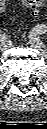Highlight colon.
<instances>
[{"label":"colon","instance_id":"1","mask_svg":"<svg viewBox=\"0 0 47 129\" xmlns=\"http://www.w3.org/2000/svg\"><path fill=\"white\" fill-rule=\"evenodd\" d=\"M24 5L29 7L34 15L39 13V10L44 7L45 0H22ZM3 6V5H2Z\"/></svg>","mask_w":47,"mask_h":129}]
</instances>
